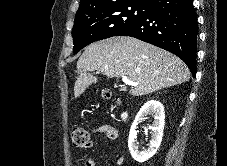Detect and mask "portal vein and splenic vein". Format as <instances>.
<instances>
[{
  "instance_id": "18ae733b",
  "label": "portal vein and splenic vein",
  "mask_w": 227,
  "mask_h": 166,
  "mask_svg": "<svg viewBox=\"0 0 227 166\" xmlns=\"http://www.w3.org/2000/svg\"><path fill=\"white\" fill-rule=\"evenodd\" d=\"M122 81H123L125 84L131 85V86H137V85H138V83H135V82H133V81H130V80L128 79V77H122Z\"/></svg>"
}]
</instances>
